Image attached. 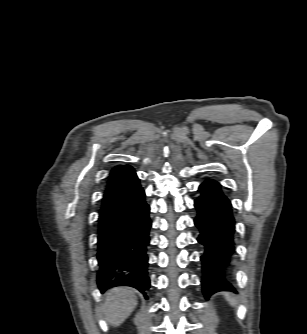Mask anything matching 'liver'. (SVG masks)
Masks as SVG:
<instances>
[{
	"mask_svg": "<svg viewBox=\"0 0 307 334\" xmlns=\"http://www.w3.org/2000/svg\"><path fill=\"white\" fill-rule=\"evenodd\" d=\"M134 290L116 287L106 293L103 312L108 323L114 327L122 324L137 306Z\"/></svg>",
	"mask_w": 307,
	"mask_h": 334,
	"instance_id": "6515ba94",
	"label": "liver"
}]
</instances>
